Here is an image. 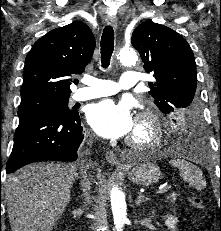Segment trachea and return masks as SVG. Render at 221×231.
<instances>
[{"mask_svg":"<svg viewBox=\"0 0 221 231\" xmlns=\"http://www.w3.org/2000/svg\"><path fill=\"white\" fill-rule=\"evenodd\" d=\"M114 50V31L111 26H106L101 37V63L107 68Z\"/></svg>","mask_w":221,"mask_h":231,"instance_id":"3493384b","label":"trachea"}]
</instances>
